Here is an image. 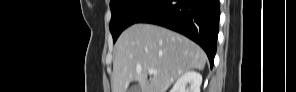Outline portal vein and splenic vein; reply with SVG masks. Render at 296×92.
Listing matches in <instances>:
<instances>
[{"label":"portal vein and splenic vein","mask_w":296,"mask_h":92,"mask_svg":"<svg viewBox=\"0 0 296 92\" xmlns=\"http://www.w3.org/2000/svg\"><path fill=\"white\" fill-rule=\"evenodd\" d=\"M148 72L149 74H157V71L154 69H149Z\"/></svg>","instance_id":"obj_1"}]
</instances>
